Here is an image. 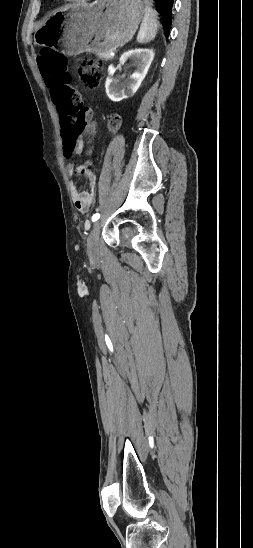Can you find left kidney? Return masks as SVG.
Segmentation results:
<instances>
[{
  "mask_svg": "<svg viewBox=\"0 0 253 548\" xmlns=\"http://www.w3.org/2000/svg\"><path fill=\"white\" fill-rule=\"evenodd\" d=\"M153 58L154 52L151 49H135L125 52L119 59L120 63L124 64L128 59H131L137 67L127 84L119 83V80L114 77L116 68L114 65H110L105 82L106 94L109 99L119 102L133 96L145 78Z\"/></svg>",
  "mask_w": 253,
  "mask_h": 548,
  "instance_id": "1",
  "label": "left kidney"
}]
</instances>
